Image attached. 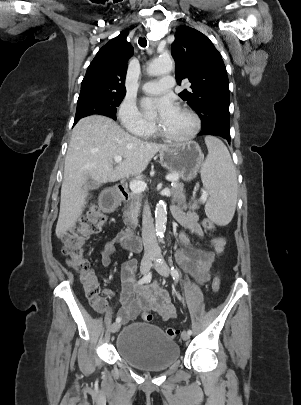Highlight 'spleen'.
I'll return each instance as SVG.
<instances>
[{"instance_id":"obj_1","label":"spleen","mask_w":301,"mask_h":405,"mask_svg":"<svg viewBox=\"0 0 301 405\" xmlns=\"http://www.w3.org/2000/svg\"><path fill=\"white\" fill-rule=\"evenodd\" d=\"M208 155L201 168V178L209 192L207 216L219 225H227L233 218L237 203V177L225 144L207 136Z\"/></svg>"}]
</instances>
